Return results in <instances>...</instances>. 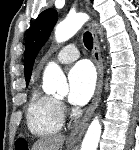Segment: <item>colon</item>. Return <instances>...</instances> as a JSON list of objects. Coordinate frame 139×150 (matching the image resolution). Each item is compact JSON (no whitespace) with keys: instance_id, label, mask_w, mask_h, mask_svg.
Here are the masks:
<instances>
[{"instance_id":"colon-1","label":"colon","mask_w":139,"mask_h":150,"mask_svg":"<svg viewBox=\"0 0 139 150\" xmlns=\"http://www.w3.org/2000/svg\"><path fill=\"white\" fill-rule=\"evenodd\" d=\"M16 150H28L27 143L25 141H17Z\"/></svg>"}]
</instances>
